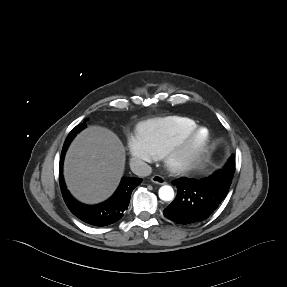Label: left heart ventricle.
Masks as SVG:
<instances>
[{"mask_svg": "<svg viewBox=\"0 0 287 287\" xmlns=\"http://www.w3.org/2000/svg\"><path fill=\"white\" fill-rule=\"evenodd\" d=\"M205 139H206V131H201L198 134V136H197V138H196V140L194 142V147L195 148L200 147L202 145V143L205 141Z\"/></svg>", "mask_w": 287, "mask_h": 287, "instance_id": "b2bd125f", "label": "left heart ventricle"}]
</instances>
